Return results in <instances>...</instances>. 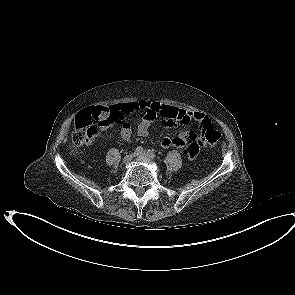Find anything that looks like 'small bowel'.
Wrapping results in <instances>:
<instances>
[{
    "mask_svg": "<svg viewBox=\"0 0 295 295\" xmlns=\"http://www.w3.org/2000/svg\"><path fill=\"white\" fill-rule=\"evenodd\" d=\"M111 114L101 117L98 126L101 131L107 130L114 122H122L121 137L130 141L132 136L131 125L125 121V117L136 111L144 113L140 121L137 134L146 137L149 134L151 124L159 117L166 125L188 124L191 120L201 122L210 121L209 117L202 112L190 111L163 104L154 100H140L107 108ZM201 141L194 132L184 131L174 137H164L160 141L163 148H178L184 150L189 157H194L200 147Z\"/></svg>",
    "mask_w": 295,
    "mask_h": 295,
    "instance_id": "small-bowel-1",
    "label": "small bowel"
}]
</instances>
